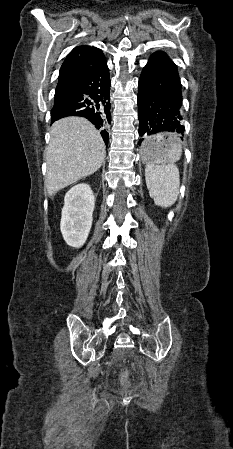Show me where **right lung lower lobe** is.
I'll return each mask as SVG.
<instances>
[{
  "label": "right lung lower lobe",
  "mask_w": 233,
  "mask_h": 449,
  "mask_svg": "<svg viewBox=\"0 0 233 449\" xmlns=\"http://www.w3.org/2000/svg\"><path fill=\"white\" fill-rule=\"evenodd\" d=\"M60 96L55 98L51 111V123L67 116L87 118L99 129L108 145V124L110 114V76L106 60L90 73L77 81L56 90Z\"/></svg>",
  "instance_id": "right-lung-lower-lobe-1"
}]
</instances>
